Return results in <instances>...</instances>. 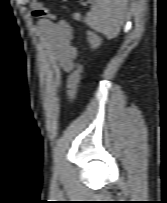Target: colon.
<instances>
[{
	"instance_id": "obj_1",
	"label": "colon",
	"mask_w": 167,
	"mask_h": 203,
	"mask_svg": "<svg viewBox=\"0 0 167 203\" xmlns=\"http://www.w3.org/2000/svg\"><path fill=\"white\" fill-rule=\"evenodd\" d=\"M31 11L34 17L44 19H54L55 16L39 1L32 0ZM82 73V64L77 63L74 71L71 73L68 83V92L72 102L75 101L79 81Z\"/></svg>"
}]
</instances>
